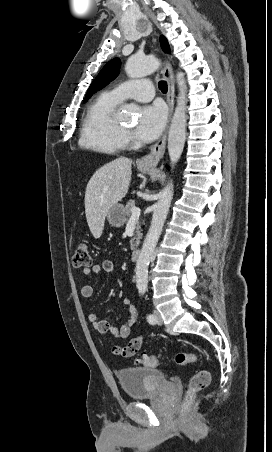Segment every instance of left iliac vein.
Instances as JSON below:
<instances>
[{
    "instance_id": "left-iliac-vein-1",
    "label": "left iliac vein",
    "mask_w": 272,
    "mask_h": 452,
    "mask_svg": "<svg viewBox=\"0 0 272 452\" xmlns=\"http://www.w3.org/2000/svg\"><path fill=\"white\" fill-rule=\"evenodd\" d=\"M154 316H155V318H156V323H157L158 325H162V324H163V320H162V317H161L159 311L155 310V311H154Z\"/></svg>"
}]
</instances>
